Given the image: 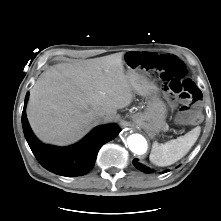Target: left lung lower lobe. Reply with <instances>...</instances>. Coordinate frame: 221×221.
I'll return each instance as SVG.
<instances>
[{
  "label": "left lung lower lobe",
  "mask_w": 221,
  "mask_h": 221,
  "mask_svg": "<svg viewBox=\"0 0 221 221\" xmlns=\"http://www.w3.org/2000/svg\"><path fill=\"white\" fill-rule=\"evenodd\" d=\"M133 164H134V166H135L137 169H139L140 171H142V172H144V173H150V172H151V170H150L149 168H147V167H145L144 165L138 163V159H134V160H133Z\"/></svg>",
  "instance_id": "1"
}]
</instances>
